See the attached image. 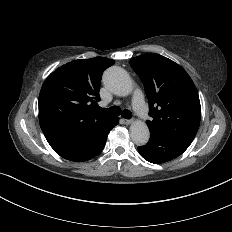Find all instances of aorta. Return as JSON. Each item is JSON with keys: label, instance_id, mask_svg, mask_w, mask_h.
Segmentation results:
<instances>
[{"label": "aorta", "instance_id": "762f6f07", "mask_svg": "<svg viewBox=\"0 0 232 232\" xmlns=\"http://www.w3.org/2000/svg\"><path fill=\"white\" fill-rule=\"evenodd\" d=\"M105 87L117 96H127L133 89L129 74L121 67L112 66L103 75ZM130 137L137 145H145L150 138V132L144 121L136 120L130 126Z\"/></svg>", "mask_w": 232, "mask_h": 232}]
</instances>
